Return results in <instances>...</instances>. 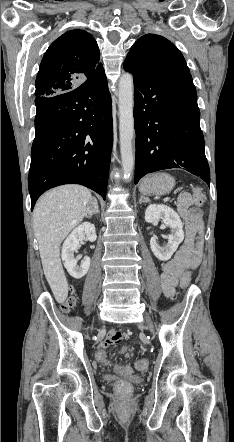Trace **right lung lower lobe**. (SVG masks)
<instances>
[{"instance_id":"1","label":"right lung lower lobe","mask_w":234,"mask_h":442,"mask_svg":"<svg viewBox=\"0 0 234 442\" xmlns=\"http://www.w3.org/2000/svg\"><path fill=\"white\" fill-rule=\"evenodd\" d=\"M35 105L28 177L31 210L42 193L62 184L84 185L105 199L113 143L105 72L71 91L36 97Z\"/></svg>"}]
</instances>
